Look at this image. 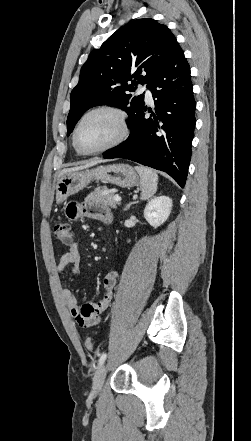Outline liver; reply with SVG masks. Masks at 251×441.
I'll list each match as a JSON object with an SVG mask.
<instances>
[{
    "instance_id": "1",
    "label": "liver",
    "mask_w": 251,
    "mask_h": 441,
    "mask_svg": "<svg viewBox=\"0 0 251 441\" xmlns=\"http://www.w3.org/2000/svg\"><path fill=\"white\" fill-rule=\"evenodd\" d=\"M102 162H104V160H101V159H93V160H90V161L84 163L83 165H80V166H77V167H73V168L63 169V170L61 171V173H60V176H61L62 174H64V173H66V172H72V171L83 170V169H86V168L92 167V166L97 165L98 163H102Z\"/></svg>"
}]
</instances>
